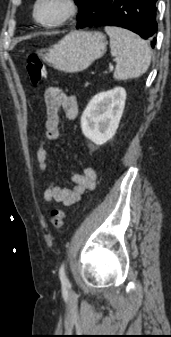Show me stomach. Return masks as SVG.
I'll list each match as a JSON object with an SVG mask.
<instances>
[{"mask_svg": "<svg viewBox=\"0 0 171 337\" xmlns=\"http://www.w3.org/2000/svg\"><path fill=\"white\" fill-rule=\"evenodd\" d=\"M107 41L100 32L72 31L41 56L51 67L66 73L87 69L106 52Z\"/></svg>", "mask_w": 171, "mask_h": 337, "instance_id": "obj_1", "label": "stomach"}]
</instances>
